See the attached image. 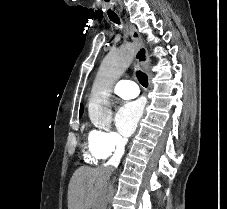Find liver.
<instances>
[{"mask_svg": "<svg viewBox=\"0 0 227 209\" xmlns=\"http://www.w3.org/2000/svg\"><path fill=\"white\" fill-rule=\"evenodd\" d=\"M99 175V169L90 167H79L75 171L68 187V209H90L93 185Z\"/></svg>", "mask_w": 227, "mask_h": 209, "instance_id": "obj_1", "label": "liver"}]
</instances>
